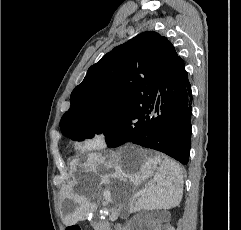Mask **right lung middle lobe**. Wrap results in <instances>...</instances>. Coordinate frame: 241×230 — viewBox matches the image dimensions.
<instances>
[{"instance_id": "right-lung-middle-lobe-1", "label": "right lung middle lobe", "mask_w": 241, "mask_h": 230, "mask_svg": "<svg viewBox=\"0 0 241 230\" xmlns=\"http://www.w3.org/2000/svg\"><path fill=\"white\" fill-rule=\"evenodd\" d=\"M150 101L135 108L113 109L107 117L80 122L63 134L73 140L81 141L92 138L94 134L103 133L109 147H118L131 134L141 132L146 127L149 122L147 104Z\"/></svg>"}]
</instances>
